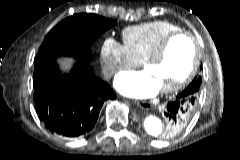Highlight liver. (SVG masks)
<instances>
[{
  "label": "liver",
  "mask_w": 240,
  "mask_h": 160,
  "mask_svg": "<svg viewBox=\"0 0 240 160\" xmlns=\"http://www.w3.org/2000/svg\"><path fill=\"white\" fill-rule=\"evenodd\" d=\"M58 60L60 61L63 69L69 71L71 64L73 62L72 59H67V58H58Z\"/></svg>",
  "instance_id": "liver-1"
}]
</instances>
